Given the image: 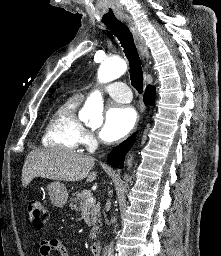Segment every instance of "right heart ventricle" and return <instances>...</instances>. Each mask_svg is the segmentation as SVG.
<instances>
[{
  "instance_id": "e07e8e85",
  "label": "right heart ventricle",
  "mask_w": 221,
  "mask_h": 256,
  "mask_svg": "<svg viewBox=\"0 0 221 256\" xmlns=\"http://www.w3.org/2000/svg\"><path fill=\"white\" fill-rule=\"evenodd\" d=\"M80 97L62 101L50 114L42 137L45 147L73 152L80 143L83 126L76 115Z\"/></svg>"
}]
</instances>
